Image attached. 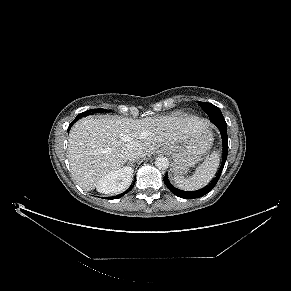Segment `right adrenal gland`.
I'll list each match as a JSON object with an SVG mask.
<instances>
[{"instance_id":"obj_1","label":"right adrenal gland","mask_w":291,"mask_h":291,"mask_svg":"<svg viewBox=\"0 0 291 291\" xmlns=\"http://www.w3.org/2000/svg\"><path fill=\"white\" fill-rule=\"evenodd\" d=\"M132 163H134V161L128 162V165H131Z\"/></svg>"}]
</instances>
